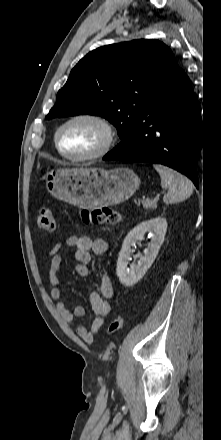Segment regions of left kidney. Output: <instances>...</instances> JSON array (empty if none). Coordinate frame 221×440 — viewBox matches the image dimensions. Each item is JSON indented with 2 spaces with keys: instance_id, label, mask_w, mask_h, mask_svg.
<instances>
[{
  "instance_id": "left-kidney-1",
  "label": "left kidney",
  "mask_w": 221,
  "mask_h": 440,
  "mask_svg": "<svg viewBox=\"0 0 221 440\" xmlns=\"http://www.w3.org/2000/svg\"><path fill=\"white\" fill-rule=\"evenodd\" d=\"M166 231L167 221L159 216L143 221L127 234L119 253L116 268L117 276L123 285L131 287L145 275L159 252ZM146 233L151 235V241L147 244L144 255H136L135 258H139L138 263L131 264L128 268L130 255L133 253L132 247L136 245L137 241H142Z\"/></svg>"
}]
</instances>
